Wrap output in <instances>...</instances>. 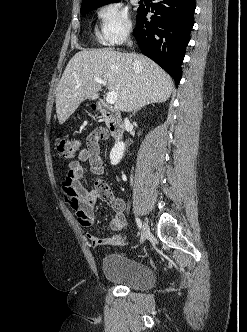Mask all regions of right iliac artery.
Listing matches in <instances>:
<instances>
[{"mask_svg": "<svg viewBox=\"0 0 247 332\" xmlns=\"http://www.w3.org/2000/svg\"><path fill=\"white\" fill-rule=\"evenodd\" d=\"M136 223H137L138 228L141 229L142 228V222L139 218H136Z\"/></svg>", "mask_w": 247, "mask_h": 332, "instance_id": "right-iliac-artery-1", "label": "right iliac artery"}]
</instances>
